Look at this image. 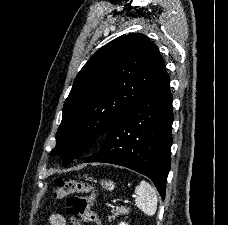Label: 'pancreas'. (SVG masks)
Segmentation results:
<instances>
[{
	"instance_id": "cf45deb5",
	"label": "pancreas",
	"mask_w": 228,
	"mask_h": 225,
	"mask_svg": "<svg viewBox=\"0 0 228 225\" xmlns=\"http://www.w3.org/2000/svg\"><path fill=\"white\" fill-rule=\"evenodd\" d=\"M111 217H108L109 223H111L112 219H116L118 215H128L129 209H125V207H116V209H112Z\"/></svg>"
}]
</instances>
